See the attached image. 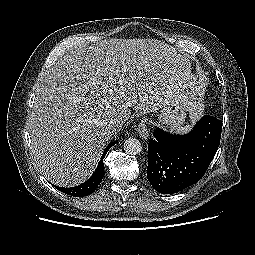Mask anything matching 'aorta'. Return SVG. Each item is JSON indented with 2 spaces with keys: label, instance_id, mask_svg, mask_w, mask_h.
<instances>
[{
  "label": "aorta",
  "instance_id": "obj_1",
  "mask_svg": "<svg viewBox=\"0 0 255 255\" xmlns=\"http://www.w3.org/2000/svg\"><path fill=\"white\" fill-rule=\"evenodd\" d=\"M142 146L138 139L128 138L124 143V150L129 155H137L141 152Z\"/></svg>",
  "mask_w": 255,
  "mask_h": 255
}]
</instances>
